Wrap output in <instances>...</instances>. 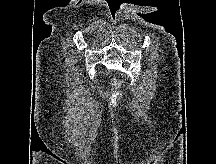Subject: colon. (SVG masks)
<instances>
[{
	"instance_id": "colon-1",
	"label": "colon",
	"mask_w": 216,
	"mask_h": 164,
	"mask_svg": "<svg viewBox=\"0 0 216 164\" xmlns=\"http://www.w3.org/2000/svg\"><path fill=\"white\" fill-rule=\"evenodd\" d=\"M114 85H115L116 87H118V86L120 85V82H119V81H116V82H114Z\"/></svg>"
}]
</instances>
